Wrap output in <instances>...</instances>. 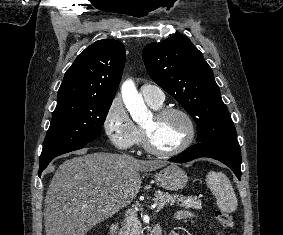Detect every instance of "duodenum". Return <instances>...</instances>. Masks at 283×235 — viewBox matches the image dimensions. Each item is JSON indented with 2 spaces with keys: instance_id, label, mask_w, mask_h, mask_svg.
Masks as SVG:
<instances>
[{
  "instance_id": "duodenum-1",
  "label": "duodenum",
  "mask_w": 283,
  "mask_h": 235,
  "mask_svg": "<svg viewBox=\"0 0 283 235\" xmlns=\"http://www.w3.org/2000/svg\"><path fill=\"white\" fill-rule=\"evenodd\" d=\"M110 235H116V226H113L110 230ZM150 235H161L160 226H155Z\"/></svg>"
}]
</instances>
